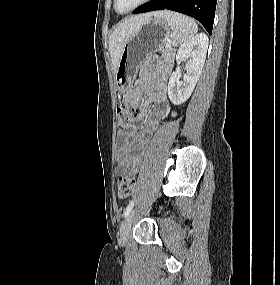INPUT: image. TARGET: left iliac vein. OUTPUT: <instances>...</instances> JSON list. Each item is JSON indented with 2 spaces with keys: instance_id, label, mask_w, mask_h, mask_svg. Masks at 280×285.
I'll return each instance as SVG.
<instances>
[{
  "instance_id": "4c4485c4",
  "label": "left iliac vein",
  "mask_w": 280,
  "mask_h": 285,
  "mask_svg": "<svg viewBox=\"0 0 280 285\" xmlns=\"http://www.w3.org/2000/svg\"><path fill=\"white\" fill-rule=\"evenodd\" d=\"M135 212H136L135 209L131 210L130 213L128 214V216L126 217V220L121 225L120 241L122 244H125L128 240L130 230H131V226H132V223L134 220Z\"/></svg>"
}]
</instances>
